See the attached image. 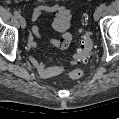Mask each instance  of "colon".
I'll return each instance as SVG.
<instances>
[{"instance_id": "1", "label": "colon", "mask_w": 119, "mask_h": 119, "mask_svg": "<svg viewBox=\"0 0 119 119\" xmlns=\"http://www.w3.org/2000/svg\"><path fill=\"white\" fill-rule=\"evenodd\" d=\"M80 39L81 42L74 57L77 61H85L89 58L92 48L90 33L87 30H81ZM82 75V70L78 68L70 70L67 74L68 78L71 80H78Z\"/></svg>"}]
</instances>
